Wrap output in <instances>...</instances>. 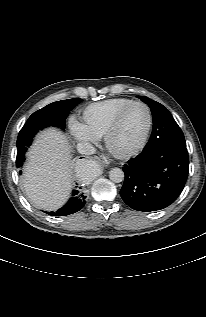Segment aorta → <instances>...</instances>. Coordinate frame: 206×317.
Segmentation results:
<instances>
[{
	"instance_id": "obj_1",
	"label": "aorta",
	"mask_w": 206,
	"mask_h": 317,
	"mask_svg": "<svg viewBox=\"0 0 206 317\" xmlns=\"http://www.w3.org/2000/svg\"><path fill=\"white\" fill-rule=\"evenodd\" d=\"M99 165L94 161H86L79 168V177L82 180H91L99 174ZM124 172L120 168H113L109 172V178L115 183H120L124 180Z\"/></svg>"
}]
</instances>
